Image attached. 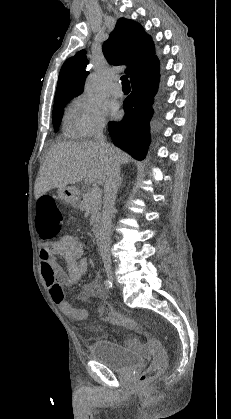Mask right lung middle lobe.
Masks as SVG:
<instances>
[{"instance_id": "right-lung-middle-lobe-1", "label": "right lung middle lobe", "mask_w": 231, "mask_h": 419, "mask_svg": "<svg viewBox=\"0 0 231 419\" xmlns=\"http://www.w3.org/2000/svg\"><path fill=\"white\" fill-rule=\"evenodd\" d=\"M71 98L56 101L53 107V125L54 129L58 130L63 116V107L70 101Z\"/></svg>"}]
</instances>
